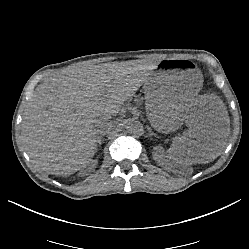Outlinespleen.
Listing matches in <instances>:
<instances>
[{
    "instance_id": "obj_1",
    "label": "spleen",
    "mask_w": 249,
    "mask_h": 249,
    "mask_svg": "<svg viewBox=\"0 0 249 249\" xmlns=\"http://www.w3.org/2000/svg\"><path fill=\"white\" fill-rule=\"evenodd\" d=\"M169 153H173V150L171 149V150H169ZM169 157L171 158V159H175L174 157H172L171 155H169Z\"/></svg>"
}]
</instances>
